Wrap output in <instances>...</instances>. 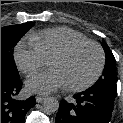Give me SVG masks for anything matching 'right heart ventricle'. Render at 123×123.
<instances>
[{
  "label": "right heart ventricle",
  "instance_id": "1",
  "mask_svg": "<svg viewBox=\"0 0 123 123\" xmlns=\"http://www.w3.org/2000/svg\"><path fill=\"white\" fill-rule=\"evenodd\" d=\"M29 40L40 49L47 59L69 45L86 41L88 38L68 27H53L31 34Z\"/></svg>",
  "mask_w": 123,
  "mask_h": 123
}]
</instances>
